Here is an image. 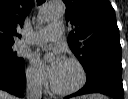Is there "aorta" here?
Masks as SVG:
<instances>
[{
	"label": "aorta",
	"instance_id": "1",
	"mask_svg": "<svg viewBox=\"0 0 128 99\" xmlns=\"http://www.w3.org/2000/svg\"><path fill=\"white\" fill-rule=\"evenodd\" d=\"M65 14V5L61 0L50 1L47 6L42 10L40 19L42 21H48L53 19L62 18ZM51 53L46 52L44 55L45 59H50Z\"/></svg>",
	"mask_w": 128,
	"mask_h": 99
}]
</instances>
